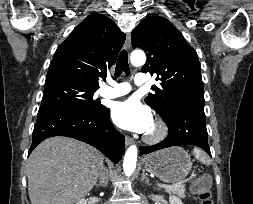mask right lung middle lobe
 <instances>
[{
	"label": "right lung middle lobe",
	"instance_id": "1",
	"mask_svg": "<svg viewBox=\"0 0 253 204\" xmlns=\"http://www.w3.org/2000/svg\"><path fill=\"white\" fill-rule=\"evenodd\" d=\"M96 90L71 82L46 83L40 109L70 108L98 112L103 105L93 98Z\"/></svg>",
	"mask_w": 253,
	"mask_h": 204
}]
</instances>
